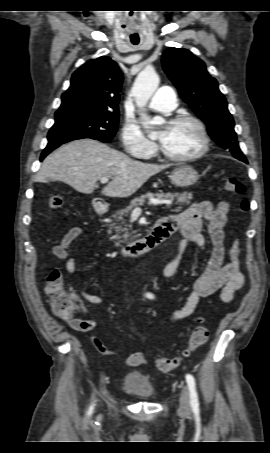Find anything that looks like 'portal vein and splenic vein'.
Listing matches in <instances>:
<instances>
[{"mask_svg":"<svg viewBox=\"0 0 270 453\" xmlns=\"http://www.w3.org/2000/svg\"><path fill=\"white\" fill-rule=\"evenodd\" d=\"M108 180H109V179H108L107 177H103V178L100 179L101 183H103V184L107 183ZM155 203H156V204H171V201H170V200H162V201L157 200V201H155ZM132 214H134V215H140V214H141V208L136 207V208L133 210Z\"/></svg>","mask_w":270,"mask_h":453,"instance_id":"1","label":"portal vein and splenic vein"}]
</instances>
